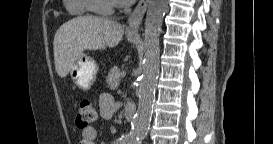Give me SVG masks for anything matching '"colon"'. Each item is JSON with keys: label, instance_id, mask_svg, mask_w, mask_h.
Listing matches in <instances>:
<instances>
[{"label": "colon", "instance_id": "colon-1", "mask_svg": "<svg viewBox=\"0 0 273 144\" xmlns=\"http://www.w3.org/2000/svg\"><path fill=\"white\" fill-rule=\"evenodd\" d=\"M97 116V107L93 101L89 99H83L80 101L76 116V124L79 128H87L96 120Z\"/></svg>", "mask_w": 273, "mask_h": 144}]
</instances>
